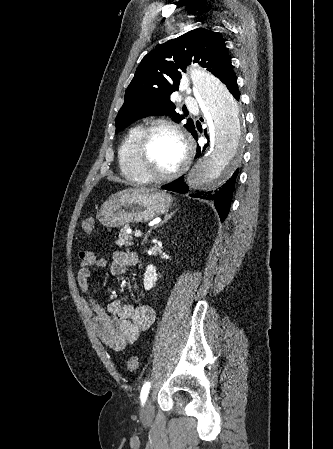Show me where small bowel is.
I'll list each match as a JSON object with an SVG mask.
<instances>
[{
    "label": "small bowel",
    "mask_w": 333,
    "mask_h": 449,
    "mask_svg": "<svg viewBox=\"0 0 333 449\" xmlns=\"http://www.w3.org/2000/svg\"><path fill=\"white\" fill-rule=\"evenodd\" d=\"M79 257L77 283L82 293L83 308L102 342L112 350L121 351L153 323L155 310L151 305L135 306L118 299L111 301L105 310L91 296L89 277L93 268L106 265V261L89 251L80 252ZM137 262L135 253L117 251L109 269L112 275H121Z\"/></svg>",
    "instance_id": "c3829d8e"
}]
</instances>
